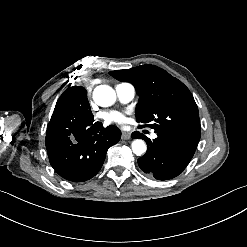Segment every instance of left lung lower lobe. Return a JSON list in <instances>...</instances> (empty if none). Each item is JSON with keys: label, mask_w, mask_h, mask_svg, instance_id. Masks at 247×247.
<instances>
[{"label": "left lung lower lobe", "mask_w": 247, "mask_h": 247, "mask_svg": "<svg viewBox=\"0 0 247 247\" xmlns=\"http://www.w3.org/2000/svg\"><path fill=\"white\" fill-rule=\"evenodd\" d=\"M151 141L139 132L132 137L142 138L147 143V152L138 159V165L145 173L157 180H168L178 176L192 159L198 141L175 132H156Z\"/></svg>", "instance_id": "left-lung-lower-lobe-1"}]
</instances>
